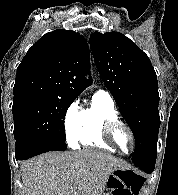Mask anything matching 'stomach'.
<instances>
[{"label":"stomach","instance_id":"stomach-1","mask_svg":"<svg viewBox=\"0 0 178 195\" xmlns=\"http://www.w3.org/2000/svg\"><path fill=\"white\" fill-rule=\"evenodd\" d=\"M132 175L130 169L114 170L108 180L107 189L103 195H126L128 194L127 179Z\"/></svg>","mask_w":178,"mask_h":195}]
</instances>
